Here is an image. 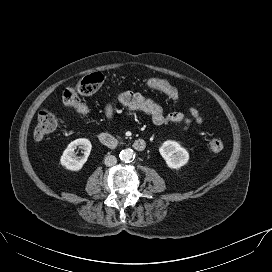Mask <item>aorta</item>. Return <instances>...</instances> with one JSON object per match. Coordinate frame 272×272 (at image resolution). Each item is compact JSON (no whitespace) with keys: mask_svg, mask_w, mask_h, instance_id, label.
Returning <instances> with one entry per match:
<instances>
[{"mask_svg":"<svg viewBox=\"0 0 272 272\" xmlns=\"http://www.w3.org/2000/svg\"><path fill=\"white\" fill-rule=\"evenodd\" d=\"M119 158L123 162H126V163L131 162L134 159V152L130 148L124 149L120 152Z\"/></svg>","mask_w":272,"mask_h":272,"instance_id":"1","label":"aorta"}]
</instances>
